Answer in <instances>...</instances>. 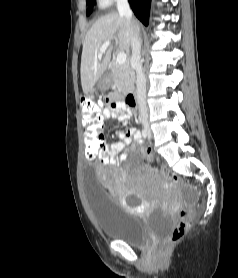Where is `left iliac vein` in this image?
Wrapping results in <instances>:
<instances>
[{"instance_id":"4c4485c4","label":"left iliac vein","mask_w":238,"mask_h":278,"mask_svg":"<svg viewBox=\"0 0 238 278\" xmlns=\"http://www.w3.org/2000/svg\"><path fill=\"white\" fill-rule=\"evenodd\" d=\"M148 137H149V138L151 137V134H150V132H148Z\"/></svg>"}]
</instances>
